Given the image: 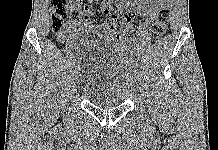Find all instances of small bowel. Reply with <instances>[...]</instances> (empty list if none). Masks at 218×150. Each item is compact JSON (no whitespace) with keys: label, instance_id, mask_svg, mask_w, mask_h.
Listing matches in <instances>:
<instances>
[{"label":"small bowel","instance_id":"small-bowel-1","mask_svg":"<svg viewBox=\"0 0 218 150\" xmlns=\"http://www.w3.org/2000/svg\"><path fill=\"white\" fill-rule=\"evenodd\" d=\"M94 0H72L71 2V20L76 21L82 18L80 24L73 30L69 29V23H65L62 29L57 33V41L67 47H72L76 39L83 33L101 29L100 24H94L91 21V4ZM120 10L124 16L123 27L130 30L136 13L140 14L145 21H152L156 18L158 12L168 7L169 0H103L101 10L109 13L111 5Z\"/></svg>","mask_w":218,"mask_h":150}]
</instances>
